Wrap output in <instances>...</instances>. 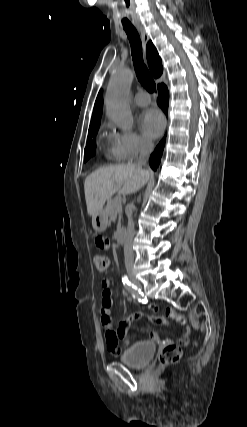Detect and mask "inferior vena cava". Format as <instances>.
Returning <instances> with one entry per match:
<instances>
[{"label": "inferior vena cava", "mask_w": 247, "mask_h": 427, "mask_svg": "<svg viewBox=\"0 0 247 427\" xmlns=\"http://www.w3.org/2000/svg\"><path fill=\"white\" fill-rule=\"evenodd\" d=\"M153 143L149 140H142L140 143V156L137 162L138 167L146 165L151 152L153 151ZM134 222L132 219V214L128 217V226L126 232V240L124 245V257H125V267L127 272H131L134 264V250L132 247V242L134 238Z\"/></svg>", "instance_id": "602c4592"}]
</instances>
